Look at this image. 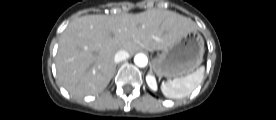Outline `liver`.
Listing matches in <instances>:
<instances>
[{
	"instance_id": "1",
	"label": "liver",
	"mask_w": 276,
	"mask_h": 120,
	"mask_svg": "<svg viewBox=\"0 0 276 120\" xmlns=\"http://www.w3.org/2000/svg\"><path fill=\"white\" fill-rule=\"evenodd\" d=\"M196 24L178 13L149 9L138 14L86 15L70 22L59 40L57 79L72 95L101 93L115 70L119 50H165Z\"/></svg>"
}]
</instances>
